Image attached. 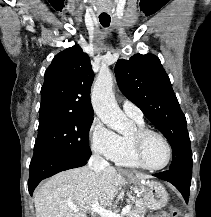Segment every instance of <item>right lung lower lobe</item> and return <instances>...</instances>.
<instances>
[{
	"label": "right lung lower lobe",
	"mask_w": 211,
	"mask_h": 217,
	"mask_svg": "<svg viewBox=\"0 0 211 217\" xmlns=\"http://www.w3.org/2000/svg\"><path fill=\"white\" fill-rule=\"evenodd\" d=\"M88 159L61 154H40L33 156L29 167L28 189L32 195L36 186L45 178L64 170L84 166Z\"/></svg>",
	"instance_id": "right-lung-lower-lobe-1"
}]
</instances>
